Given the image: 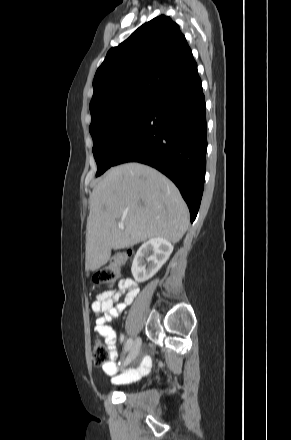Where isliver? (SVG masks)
<instances>
[{"label": "liver", "mask_w": 291, "mask_h": 440, "mask_svg": "<svg viewBox=\"0 0 291 440\" xmlns=\"http://www.w3.org/2000/svg\"><path fill=\"white\" fill-rule=\"evenodd\" d=\"M118 222H124L120 229ZM189 226L179 190L159 171L139 163L109 169L94 187L86 227V270L99 269L111 249L161 237L177 243Z\"/></svg>", "instance_id": "6515ba94"}]
</instances>
